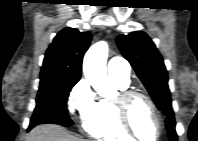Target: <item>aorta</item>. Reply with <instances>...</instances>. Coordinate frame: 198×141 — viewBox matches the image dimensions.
<instances>
[{
	"mask_svg": "<svg viewBox=\"0 0 198 141\" xmlns=\"http://www.w3.org/2000/svg\"><path fill=\"white\" fill-rule=\"evenodd\" d=\"M108 51V44L105 41H99L92 45L84 56L83 72L98 95L110 100L115 96L116 90L107 76Z\"/></svg>",
	"mask_w": 198,
	"mask_h": 141,
	"instance_id": "762f6f07",
	"label": "aorta"
}]
</instances>
